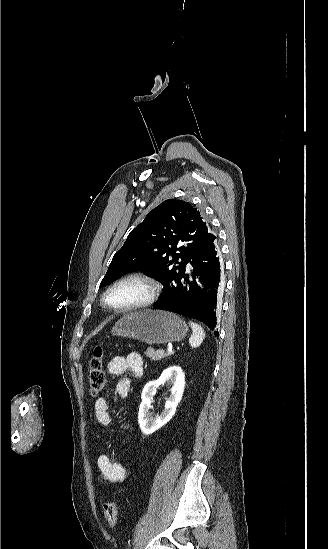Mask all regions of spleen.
<instances>
[{
	"instance_id": "obj_1",
	"label": "spleen",
	"mask_w": 328,
	"mask_h": 549,
	"mask_svg": "<svg viewBox=\"0 0 328 549\" xmlns=\"http://www.w3.org/2000/svg\"><path fill=\"white\" fill-rule=\"evenodd\" d=\"M189 325L193 331L189 339V345L192 349H197V347H200L201 343H203L206 333L197 323H192V321H190Z\"/></svg>"
}]
</instances>
